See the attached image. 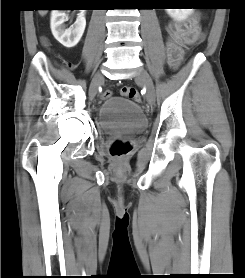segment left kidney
<instances>
[{"mask_svg": "<svg viewBox=\"0 0 245 278\" xmlns=\"http://www.w3.org/2000/svg\"><path fill=\"white\" fill-rule=\"evenodd\" d=\"M193 9H166L167 14L175 20L181 21L192 13Z\"/></svg>", "mask_w": 245, "mask_h": 278, "instance_id": "left-kidney-1", "label": "left kidney"}]
</instances>
